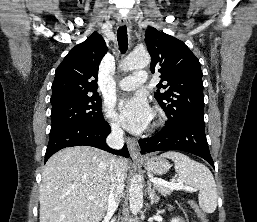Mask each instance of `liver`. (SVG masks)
Returning a JSON list of instances; mask_svg holds the SVG:
<instances>
[{
  "instance_id": "1",
  "label": "liver",
  "mask_w": 257,
  "mask_h": 222,
  "mask_svg": "<svg viewBox=\"0 0 257 222\" xmlns=\"http://www.w3.org/2000/svg\"><path fill=\"white\" fill-rule=\"evenodd\" d=\"M109 157L89 146L68 147L50 157L40 185V222L101 221L111 185ZM117 163L124 179L127 161L118 158Z\"/></svg>"
}]
</instances>
